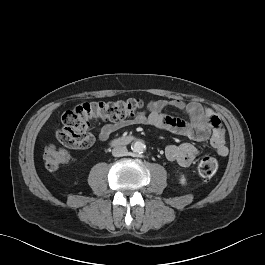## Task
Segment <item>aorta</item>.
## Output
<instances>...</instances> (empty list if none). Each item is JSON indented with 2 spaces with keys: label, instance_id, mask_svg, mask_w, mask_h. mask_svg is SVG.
Here are the masks:
<instances>
[{
  "label": "aorta",
  "instance_id": "1",
  "mask_svg": "<svg viewBox=\"0 0 265 265\" xmlns=\"http://www.w3.org/2000/svg\"><path fill=\"white\" fill-rule=\"evenodd\" d=\"M131 149L135 153H143L146 150V145L142 141H136L132 144Z\"/></svg>",
  "mask_w": 265,
  "mask_h": 265
}]
</instances>
